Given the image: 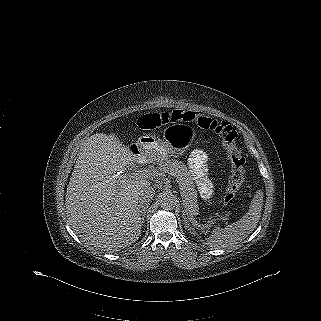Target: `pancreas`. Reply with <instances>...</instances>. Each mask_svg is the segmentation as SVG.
<instances>
[{
    "mask_svg": "<svg viewBox=\"0 0 321 321\" xmlns=\"http://www.w3.org/2000/svg\"><path fill=\"white\" fill-rule=\"evenodd\" d=\"M159 171L163 174L171 175L177 178L181 189V195L184 199V207L189 215L198 213V202L195 185L187 167L178 160H166L159 166Z\"/></svg>",
    "mask_w": 321,
    "mask_h": 321,
    "instance_id": "1",
    "label": "pancreas"
}]
</instances>
